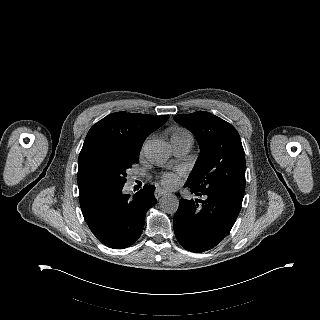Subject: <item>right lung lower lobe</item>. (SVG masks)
<instances>
[{"mask_svg": "<svg viewBox=\"0 0 320 320\" xmlns=\"http://www.w3.org/2000/svg\"><path fill=\"white\" fill-rule=\"evenodd\" d=\"M82 214L90 230L104 245L123 249L140 237L146 212L155 205V187L146 185L134 197L124 184L88 179L78 184Z\"/></svg>", "mask_w": 320, "mask_h": 320, "instance_id": "1", "label": "right lung lower lobe"}]
</instances>
